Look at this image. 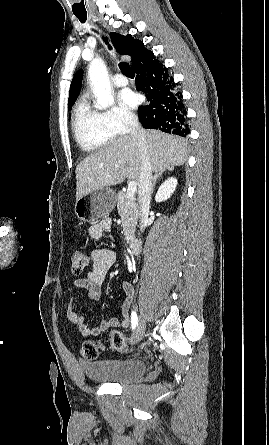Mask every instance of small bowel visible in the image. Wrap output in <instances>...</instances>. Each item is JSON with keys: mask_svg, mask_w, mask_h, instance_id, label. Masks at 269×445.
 Listing matches in <instances>:
<instances>
[{"mask_svg": "<svg viewBox=\"0 0 269 445\" xmlns=\"http://www.w3.org/2000/svg\"><path fill=\"white\" fill-rule=\"evenodd\" d=\"M110 220L104 219L89 228V234L95 239L103 236L104 232L110 228ZM92 262L91 270L85 277L77 278L73 281L69 289L70 301L66 310V317L68 321L73 324L78 332L84 337L97 336L100 333L110 328H126L129 326V312L133 299L134 289L128 282H123L122 288L125 294V299L121 306V319L109 318L101 321V323L94 327H89L86 323L85 315L81 314L74 302L73 291L78 290L84 292L91 300H98L101 295V286L105 277L116 261L114 251L107 248H98L92 251L90 256Z\"/></svg>", "mask_w": 269, "mask_h": 445, "instance_id": "obj_1", "label": "small bowel"}]
</instances>
